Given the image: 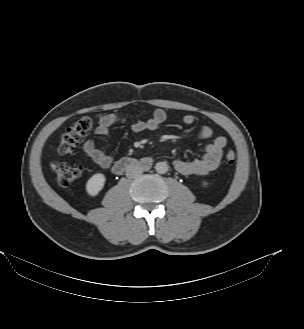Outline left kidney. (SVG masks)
Returning <instances> with one entry per match:
<instances>
[{"label": "left kidney", "instance_id": "1", "mask_svg": "<svg viewBox=\"0 0 304 329\" xmlns=\"http://www.w3.org/2000/svg\"><path fill=\"white\" fill-rule=\"evenodd\" d=\"M208 185V183L207 182H203V186H207Z\"/></svg>", "mask_w": 304, "mask_h": 329}]
</instances>
